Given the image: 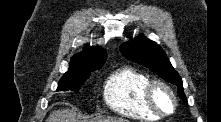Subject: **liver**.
Segmentation results:
<instances>
[{
	"label": "liver",
	"mask_w": 221,
	"mask_h": 122,
	"mask_svg": "<svg viewBox=\"0 0 221 122\" xmlns=\"http://www.w3.org/2000/svg\"><path fill=\"white\" fill-rule=\"evenodd\" d=\"M46 122H78L76 114L72 110L62 109L54 111L50 114ZM91 122H128L123 118H95Z\"/></svg>",
	"instance_id": "obj_1"
}]
</instances>
